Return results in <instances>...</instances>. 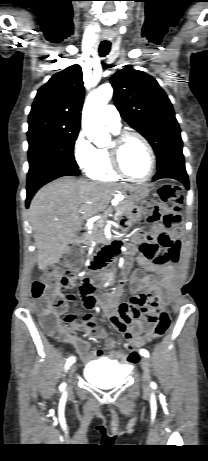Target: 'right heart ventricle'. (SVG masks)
Masks as SVG:
<instances>
[{
    "label": "right heart ventricle",
    "mask_w": 208,
    "mask_h": 461,
    "mask_svg": "<svg viewBox=\"0 0 208 461\" xmlns=\"http://www.w3.org/2000/svg\"><path fill=\"white\" fill-rule=\"evenodd\" d=\"M86 174L89 178L100 181H117L120 179V176L111 167L109 154L105 148H95L94 158L87 167Z\"/></svg>",
    "instance_id": "e07e8e85"
}]
</instances>
